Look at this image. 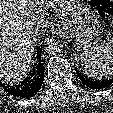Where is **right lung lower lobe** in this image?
I'll list each match as a JSON object with an SVG mask.
<instances>
[{
    "instance_id": "98d812e1",
    "label": "right lung lower lobe",
    "mask_w": 113,
    "mask_h": 113,
    "mask_svg": "<svg viewBox=\"0 0 113 113\" xmlns=\"http://www.w3.org/2000/svg\"><path fill=\"white\" fill-rule=\"evenodd\" d=\"M36 52V69L33 70L31 76L26 78L22 84L15 86H7L0 82V86H2L6 92L16 97L29 98L34 96L40 90L44 81V67L41 63V48L38 47Z\"/></svg>"
}]
</instances>
